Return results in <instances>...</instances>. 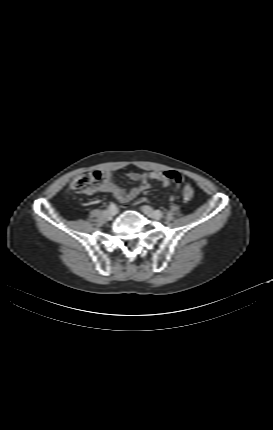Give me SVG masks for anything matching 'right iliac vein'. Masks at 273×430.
<instances>
[{
  "label": "right iliac vein",
  "instance_id": "1",
  "mask_svg": "<svg viewBox=\"0 0 273 430\" xmlns=\"http://www.w3.org/2000/svg\"><path fill=\"white\" fill-rule=\"evenodd\" d=\"M117 213H118V209L117 208H115V209H109V210L106 211V214L108 216H111V217H114Z\"/></svg>",
  "mask_w": 273,
  "mask_h": 430
}]
</instances>
